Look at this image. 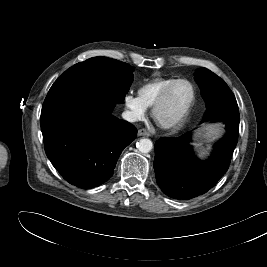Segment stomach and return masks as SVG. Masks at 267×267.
Returning <instances> with one entry per match:
<instances>
[{"instance_id": "0dacf381", "label": "stomach", "mask_w": 267, "mask_h": 267, "mask_svg": "<svg viewBox=\"0 0 267 267\" xmlns=\"http://www.w3.org/2000/svg\"><path fill=\"white\" fill-rule=\"evenodd\" d=\"M221 132V127L218 124H209L203 126L198 130L195 135L196 139H209L213 138L214 136L218 135Z\"/></svg>"}]
</instances>
